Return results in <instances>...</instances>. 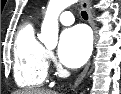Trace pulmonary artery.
<instances>
[{
  "instance_id": "e3ab8cb5",
  "label": "pulmonary artery",
  "mask_w": 121,
  "mask_h": 94,
  "mask_svg": "<svg viewBox=\"0 0 121 94\" xmlns=\"http://www.w3.org/2000/svg\"><path fill=\"white\" fill-rule=\"evenodd\" d=\"M63 25H71L74 22V16L71 12H64L59 18Z\"/></svg>"
}]
</instances>
